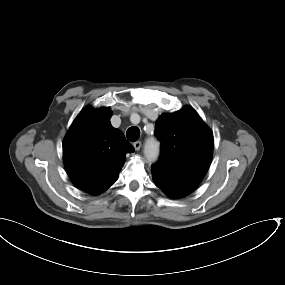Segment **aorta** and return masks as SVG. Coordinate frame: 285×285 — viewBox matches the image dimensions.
Here are the masks:
<instances>
[{
  "instance_id": "obj_1",
  "label": "aorta",
  "mask_w": 285,
  "mask_h": 285,
  "mask_svg": "<svg viewBox=\"0 0 285 285\" xmlns=\"http://www.w3.org/2000/svg\"><path fill=\"white\" fill-rule=\"evenodd\" d=\"M145 157L148 161H154L159 153L158 145L152 142H149L145 146Z\"/></svg>"
}]
</instances>
